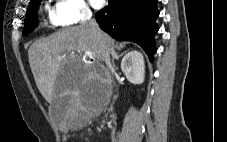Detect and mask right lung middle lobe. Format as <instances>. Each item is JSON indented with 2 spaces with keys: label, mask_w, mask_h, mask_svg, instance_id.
Instances as JSON below:
<instances>
[{
  "label": "right lung middle lobe",
  "mask_w": 227,
  "mask_h": 142,
  "mask_svg": "<svg viewBox=\"0 0 227 142\" xmlns=\"http://www.w3.org/2000/svg\"><path fill=\"white\" fill-rule=\"evenodd\" d=\"M41 0L31 2L28 7V11L25 17L23 35H26L33 31L37 25V11Z\"/></svg>",
  "instance_id": "1"
}]
</instances>
